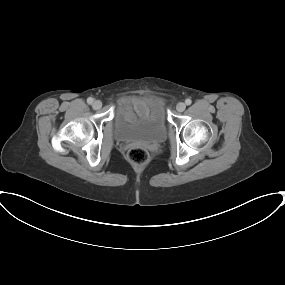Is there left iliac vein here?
<instances>
[{"label":"left iliac vein","instance_id":"obj_1","mask_svg":"<svg viewBox=\"0 0 285 285\" xmlns=\"http://www.w3.org/2000/svg\"><path fill=\"white\" fill-rule=\"evenodd\" d=\"M186 108V105L185 103L183 102H179L177 105H176V109L178 112H183Z\"/></svg>","mask_w":285,"mask_h":285}]
</instances>
